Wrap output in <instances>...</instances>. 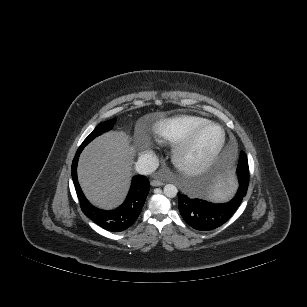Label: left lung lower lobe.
I'll use <instances>...</instances> for the list:
<instances>
[{"instance_id": "left-lung-lower-lobe-1", "label": "left lung lower lobe", "mask_w": 307, "mask_h": 307, "mask_svg": "<svg viewBox=\"0 0 307 307\" xmlns=\"http://www.w3.org/2000/svg\"><path fill=\"white\" fill-rule=\"evenodd\" d=\"M238 168L244 173L249 172L246 154L242 151L238 162ZM239 188L235 197L222 204H214L200 198H193L188 194L178 193L179 211L192 228L200 231L213 230L225 222L236 212L248 189L249 178H239Z\"/></svg>"}]
</instances>
